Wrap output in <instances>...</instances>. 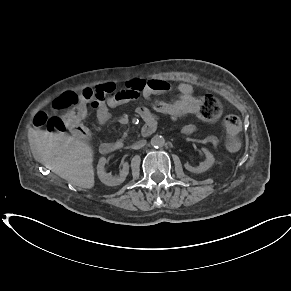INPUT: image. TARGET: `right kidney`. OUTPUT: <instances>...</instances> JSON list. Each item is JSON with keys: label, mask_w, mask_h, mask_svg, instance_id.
<instances>
[{"label": "right kidney", "mask_w": 291, "mask_h": 291, "mask_svg": "<svg viewBox=\"0 0 291 291\" xmlns=\"http://www.w3.org/2000/svg\"><path fill=\"white\" fill-rule=\"evenodd\" d=\"M107 163V160L105 157H101L99 159L98 165H97V175L100 179V181L107 185V186H117L123 183L129 174V164L127 162L123 163V168L120 170V175L118 177H114L111 175V173H107L105 170V164Z\"/></svg>", "instance_id": "1"}]
</instances>
